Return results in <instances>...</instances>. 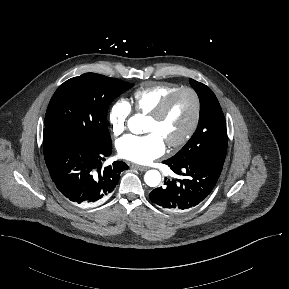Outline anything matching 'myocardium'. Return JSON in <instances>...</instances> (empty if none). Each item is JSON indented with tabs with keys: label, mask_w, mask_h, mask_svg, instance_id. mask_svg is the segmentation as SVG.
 Listing matches in <instances>:
<instances>
[{
	"label": "myocardium",
	"mask_w": 289,
	"mask_h": 289,
	"mask_svg": "<svg viewBox=\"0 0 289 289\" xmlns=\"http://www.w3.org/2000/svg\"><path fill=\"white\" fill-rule=\"evenodd\" d=\"M183 92H187L191 94V96L194 99V104H195V109H194V115L192 122L187 129V131L177 140L167 142V146L172 149L180 148L183 145H185L195 134L199 123L201 119V112H202V104H201V99L198 94V92L191 88V87H179L176 90L172 91L170 94H168L162 101L161 103L152 111L148 114V117L153 119V120H160L164 117V115L167 113L169 110L174 98Z\"/></svg>",
	"instance_id": "f54148a6"
}]
</instances>
